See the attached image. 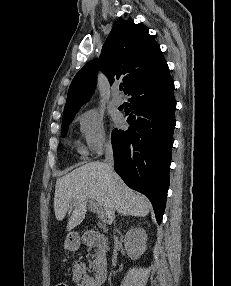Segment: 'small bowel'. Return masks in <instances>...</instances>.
I'll return each instance as SVG.
<instances>
[{
  "label": "small bowel",
  "instance_id": "1",
  "mask_svg": "<svg viewBox=\"0 0 231 286\" xmlns=\"http://www.w3.org/2000/svg\"><path fill=\"white\" fill-rule=\"evenodd\" d=\"M71 278L77 286H97L95 278L88 273L85 264L80 261L72 263Z\"/></svg>",
  "mask_w": 231,
  "mask_h": 286
}]
</instances>
